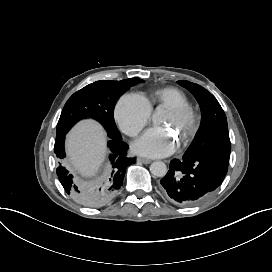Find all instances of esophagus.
Segmentation results:
<instances>
[{"label": "esophagus", "instance_id": "esophagus-1", "mask_svg": "<svg viewBox=\"0 0 272 272\" xmlns=\"http://www.w3.org/2000/svg\"><path fill=\"white\" fill-rule=\"evenodd\" d=\"M137 161H139V162H141V163H143V164H149V163H151V160H150V159H147V158H145V157H138V158H137Z\"/></svg>", "mask_w": 272, "mask_h": 272}]
</instances>
